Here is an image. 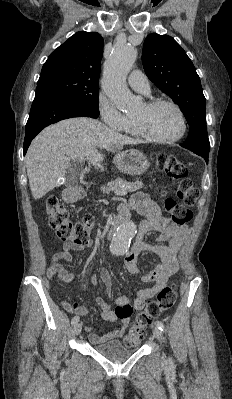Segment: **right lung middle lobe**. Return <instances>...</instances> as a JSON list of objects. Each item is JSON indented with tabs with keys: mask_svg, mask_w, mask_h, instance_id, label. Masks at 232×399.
<instances>
[{
	"mask_svg": "<svg viewBox=\"0 0 232 399\" xmlns=\"http://www.w3.org/2000/svg\"><path fill=\"white\" fill-rule=\"evenodd\" d=\"M51 92L99 113V87L96 83H84L69 78L39 80L36 92Z\"/></svg>",
	"mask_w": 232,
	"mask_h": 399,
	"instance_id": "right-lung-middle-lobe-1",
	"label": "right lung middle lobe"
}]
</instances>
